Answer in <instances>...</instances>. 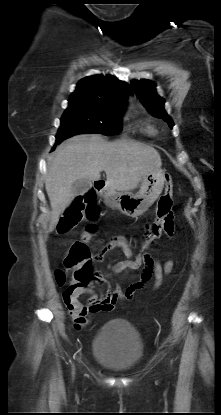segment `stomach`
Masks as SVG:
<instances>
[{
    "label": "stomach",
    "instance_id": "stomach-1",
    "mask_svg": "<svg viewBox=\"0 0 221 415\" xmlns=\"http://www.w3.org/2000/svg\"><path fill=\"white\" fill-rule=\"evenodd\" d=\"M165 175L162 169L145 174L137 193H120L105 189L102 195L105 203L126 216L137 217L144 214L162 193Z\"/></svg>",
    "mask_w": 221,
    "mask_h": 415
}]
</instances>
